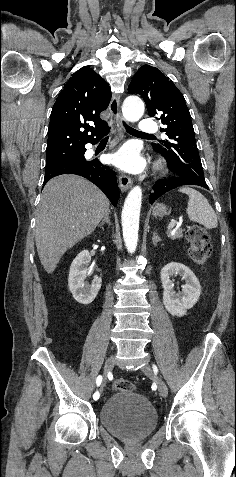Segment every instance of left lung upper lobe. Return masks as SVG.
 Here are the masks:
<instances>
[{
	"label": "left lung upper lobe",
	"instance_id": "1",
	"mask_svg": "<svg viewBox=\"0 0 236 477\" xmlns=\"http://www.w3.org/2000/svg\"><path fill=\"white\" fill-rule=\"evenodd\" d=\"M130 93L143 97L150 117L162 121L166 135L153 149L166 158L178 174L205 181L185 99L174 83L155 67L144 65L129 84Z\"/></svg>",
	"mask_w": 236,
	"mask_h": 477
}]
</instances>
